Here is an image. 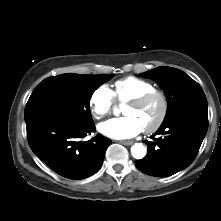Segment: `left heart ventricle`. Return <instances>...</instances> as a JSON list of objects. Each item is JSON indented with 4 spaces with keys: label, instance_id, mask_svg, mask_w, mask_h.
Segmentation results:
<instances>
[{
    "label": "left heart ventricle",
    "instance_id": "1",
    "mask_svg": "<svg viewBox=\"0 0 221 221\" xmlns=\"http://www.w3.org/2000/svg\"><path fill=\"white\" fill-rule=\"evenodd\" d=\"M160 112L161 102L159 99H154L141 107L127 105L123 109V114L125 116L135 117L141 123L143 129L154 124L158 119Z\"/></svg>",
    "mask_w": 221,
    "mask_h": 221
}]
</instances>
